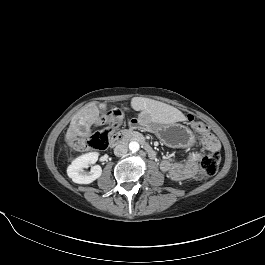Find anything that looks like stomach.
Returning a JSON list of instances; mask_svg holds the SVG:
<instances>
[{"label":"stomach","mask_w":265,"mask_h":265,"mask_svg":"<svg viewBox=\"0 0 265 265\" xmlns=\"http://www.w3.org/2000/svg\"><path fill=\"white\" fill-rule=\"evenodd\" d=\"M139 124L169 147L184 148L195 143L193 132L182 124H158L144 119H139Z\"/></svg>","instance_id":"0dacf381"}]
</instances>
